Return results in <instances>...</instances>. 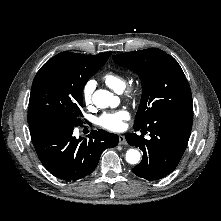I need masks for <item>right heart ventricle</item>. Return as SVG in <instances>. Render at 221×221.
Masks as SVG:
<instances>
[{
    "instance_id": "1",
    "label": "right heart ventricle",
    "mask_w": 221,
    "mask_h": 221,
    "mask_svg": "<svg viewBox=\"0 0 221 221\" xmlns=\"http://www.w3.org/2000/svg\"><path fill=\"white\" fill-rule=\"evenodd\" d=\"M103 81L116 92H121L126 87V80L121 75L108 72L103 76Z\"/></svg>"
}]
</instances>
